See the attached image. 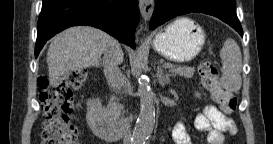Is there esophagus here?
<instances>
[{
	"mask_svg": "<svg viewBox=\"0 0 273 144\" xmlns=\"http://www.w3.org/2000/svg\"><path fill=\"white\" fill-rule=\"evenodd\" d=\"M139 9L143 20L148 21L154 10V1L153 0H140Z\"/></svg>",
	"mask_w": 273,
	"mask_h": 144,
	"instance_id": "1",
	"label": "esophagus"
}]
</instances>
